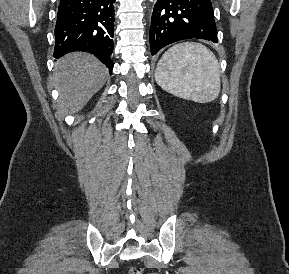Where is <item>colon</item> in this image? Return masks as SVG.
<instances>
[{
  "instance_id": "colon-1",
  "label": "colon",
  "mask_w": 289,
  "mask_h": 274,
  "mask_svg": "<svg viewBox=\"0 0 289 274\" xmlns=\"http://www.w3.org/2000/svg\"><path fill=\"white\" fill-rule=\"evenodd\" d=\"M128 274H143V268L139 266L130 267Z\"/></svg>"
}]
</instances>
